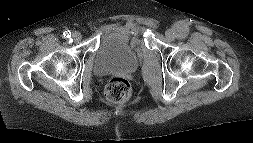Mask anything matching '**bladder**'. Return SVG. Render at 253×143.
I'll return each instance as SVG.
<instances>
[{"instance_id": "1", "label": "bladder", "mask_w": 253, "mask_h": 143, "mask_svg": "<svg viewBox=\"0 0 253 143\" xmlns=\"http://www.w3.org/2000/svg\"><path fill=\"white\" fill-rule=\"evenodd\" d=\"M141 62V45L136 36L121 24L107 30L96 52L94 71L98 75L133 72Z\"/></svg>"}]
</instances>
